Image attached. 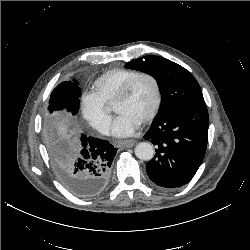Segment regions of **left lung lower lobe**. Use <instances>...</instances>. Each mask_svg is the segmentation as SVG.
Segmentation results:
<instances>
[{
    "label": "left lung lower lobe",
    "instance_id": "0a47b994",
    "mask_svg": "<svg viewBox=\"0 0 250 250\" xmlns=\"http://www.w3.org/2000/svg\"><path fill=\"white\" fill-rule=\"evenodd\" d=\"M209 116L205 102L184 106L153 120L144 138L155 146V156L146 164L149 178L164 188L190 182L204 158Z\"/></svg>",
    "mask_w": 250,
    "mask_h": 250
}]
</instances>
